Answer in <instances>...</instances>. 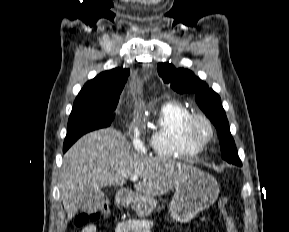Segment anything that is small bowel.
I'll use <instances>...</instances> for the list:
<instances>
[{"label": "small bowel", "mask_w": 289, "mask_h": 232, "mask_svg": "<svg viewBox=\"0 0 289 232\" xmlns=\"http://www.w3.org/2000/svg\"><path fill=\"white\" fill-rule=\"evenodd\" d=\"M155 223L140 222L129 220L121 222L117 225L115 232H151ZM81 232H99L97 227L93 224L85 226Z\"/></svg>", "instance_id": "small-bowel-1"}]
</instances>
